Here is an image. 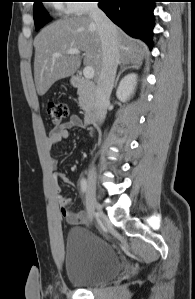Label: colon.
Returning <instances> with one entry per match:
<instances>
[{
	"label": "colon",
	"instance_id": "obj_1",
	"mask_svg": "<svg viewBox=\"0 0 195 299\" xmlns=\"http://www.w3.org/2000/svg\"><path fill=\"white\" fill-rule=\"evenodd\" d=\"M46 110L54 124L61 123L69 114V107L63 101H49Z\"/></svg>",
	"mask_w": 195,
	"mask_h": 299
}]
</instances>
